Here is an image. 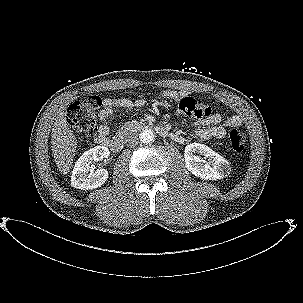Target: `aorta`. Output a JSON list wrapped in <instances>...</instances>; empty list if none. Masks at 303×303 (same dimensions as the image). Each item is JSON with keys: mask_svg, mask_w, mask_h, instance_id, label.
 I'll use <instances>...</instances> for the list:
<instances>
[{"mask_svg": "<svg viewBox=\"0 0 303 303\" xmlns=\"http://www.w3.org/2000/svg\"><path fill=\"white\" fill-rule=\"evenodd\" d=\"M140 141L144 144H148L154 141L155 134L151 129H145L139 134Z\"/></svg>", "mask_w": 303, "mask_h": 303, "instance_id": "obj_1", "label": "aorta"}]
</instances>
